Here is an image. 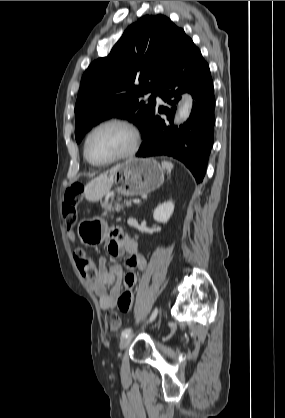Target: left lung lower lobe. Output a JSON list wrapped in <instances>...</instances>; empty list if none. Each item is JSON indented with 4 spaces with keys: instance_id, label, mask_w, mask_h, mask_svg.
<instances>
[{
    "instance_id": "0a47b994",
    "label": "left lung lower lobe",
    "mask_w": 285,
    "mask_h": 418,
    "mask_svg": "<svg viewBox=\"0 0 285 418\" xmlns=\"http://www.w3.org/2000/svg\"><path fill=\"white\" fill-rule=\"evenodd\" d=\"M184 92L192 94L194 103L189 119L177 129L170 117ZM158 96L172 106L158 110L167 115L169 124L155 113L136 156H172L201 182L214 141L215 96L209 66L186 35L161 80Z\"/></svg>"
}]
</instances>
